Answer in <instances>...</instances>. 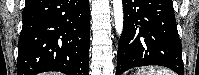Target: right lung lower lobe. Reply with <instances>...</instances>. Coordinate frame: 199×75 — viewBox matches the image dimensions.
I'll use <instances>...</instances> for the list:
<instances>
[{"label":"right lung lower lobe","mask_w":199,"mask_h":75,"mask_svg":"<svg viewBox=\"0 0 199 75\" xmlns=\"http://www.w3.org/2000/svg\"><path fill=\"white\" fill-rule=\"evenodd\" d=\"M17 75H88L89 0H26Z\"/></svg>","instance_id":"obj_1"}]
</instances>
